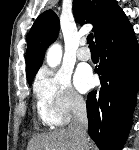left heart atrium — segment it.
Listing matches in <instances>:
<instances>
[{
    "label": "left heart atrium",
    "instance_id": "39dd6f15",
    "mask_svg": "<svg viewBox=\"0 0 139 150\" xmlns=\"http://www.w3.org/2000/svg\"><path fill=\"white\" fill-rule=\"evenodd\" d=\"M94 84L93 75L85 69H79L75 75V85L81 92L88 91Z\"/></svg>",
    "mask_w": 139,
    "mask_h": 150
}]
</instances>
